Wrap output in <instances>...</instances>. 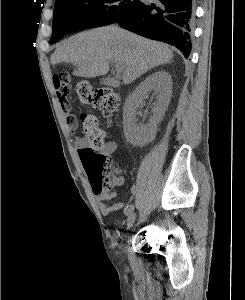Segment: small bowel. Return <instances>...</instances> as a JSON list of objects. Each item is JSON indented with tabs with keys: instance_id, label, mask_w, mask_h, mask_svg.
<instances>
[{
	"instance_id": "1",
	"label": "small bowel",
	"mask_w": 245,
	"mask_h": 300,
	"mask_svg": "<svg viewBox=\"0 0 245 300\" xmlns=\"http://www.w3.org/2000/svg\"><path fill=\"white\" fill-rule=\"evenodd\" d=\"M57 94H58V97L60 98L61 109L66 115L68 129H69L70 133L73 135V141H74L75 145L78 147V151H79L81 148L87 146V142L82 137L76 135V131L78 129V123H77L75 117L70 114V107H69L66 97L59 90H58ZM104 139H105V141L103 142L102 146L99 148V153L109 159L110 156L116 151L117 143L114 140H112L111 134H106L104 136ZM123 182H124L123 178L119 177L117 179L116 184L122 185ZM130 192H131V195L134 196L137 193V187L132 186ZM113 195H114L113 193H109V194L97 196V200L99 202V208L102 213L107 214V213L119 210L124 206V204L122 202H117L112 205H108L104 202L105 200L112 198Z\"/></svg>"
}]
</instances>
